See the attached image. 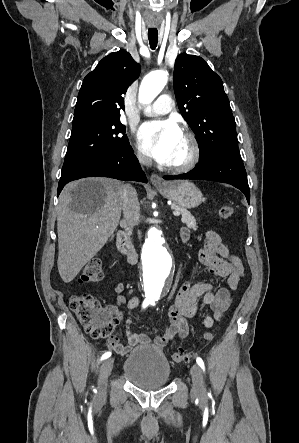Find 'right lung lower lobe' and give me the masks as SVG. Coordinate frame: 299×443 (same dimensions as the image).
Listing matches in <instances>:
<instances>
[{"mask_svg": "<svg viewBox=\"0 0 299 443\" xmlns=\"http://www.w3.org/2000/svg\"><path fill=\"white\" fill-rule=\"evenodd\" d=\"M94 176L147 182L146 176L140 168L138 159L130 147L123 153L98 158L81 165L64 176H61L58 184L57 196L68 182Z\"/></svg>", "mask_w": 299, "mask_h": 443, "instance_id": "obj_1", "label": "right lung lower lobe"}]
</instances>
